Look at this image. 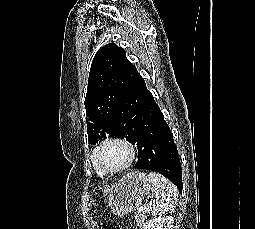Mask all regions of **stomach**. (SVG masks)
<instances>
[{"mask_svg":"<svg viewBox=\"0 0 255 229\" xmlns=\"http://www.w3.org/2000/svg\"><path fill=\"white\" fill-rule=\"evenodd\" d=\"M150 190L151 184L145 173L129 172L111 187L108 206L117 216L127 215L140 207Z\"/></svg>","mask_w":255,"mask_h":229,"instance_id":"stomach-1","label":"stomach"}]
</instances>
